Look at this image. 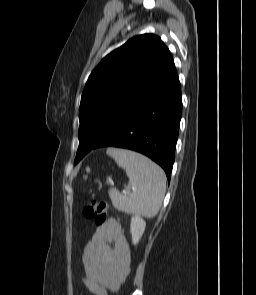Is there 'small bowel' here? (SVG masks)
<instances>
[{"mask_svg":"<svg viewBox=\"0 0 256 295\" xmlns=\"http://www.w3.org/2000/svg\"><path fill=\"white\" fill-rule=\"evenodd\" d=\"M82 283L94 295L116 291L130 272V249L118 220L110 218L86 241Z\"/></svg>","mask_w":256,"mask_h":295,"instance_id":"small-bowel-1","label":"small bowel"}]
</instances>
